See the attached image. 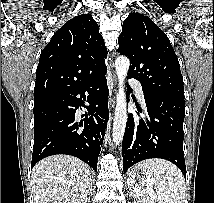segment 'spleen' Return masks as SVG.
Instances as JSON below:
<instances>
[{
    "label": "spleen",
    "instance_id": "3e777b00",
    "mask_svg": "<svg viewBox=\"0 0 214 203\" xmlns=\"http://www.w3.org/2000/svg\"><path fill=\"white\" fill-rule=\"evenodd\" d=\"M138 170L143 175L139 182L146 184L150 196V201L143 199L146 203H154L155 199L158 203H183L185 182L176 166L165 160L150 159L140 162Z\"/></svg>",
    "mask_w": 214,
    "mask_h": 203
}]
</instances>
